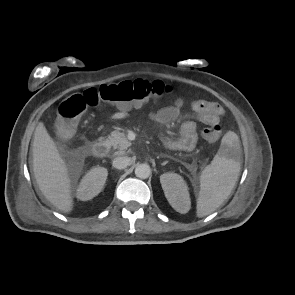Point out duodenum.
<instances>
[{
	"label": "duodenum",
	"mask_w": 295,
	"mask_h": 295,
	"mask_svg": "<svg viewBox=\"0 0 295 295\" xmlns=\"http://www.w3.org/2000/svg\"><path fill=\"white\" fill-rule=\"evenodd\" d=\"M84 150L90 151L93 155L97 157H103L108 153L109 147L108 144L104 141H98L95 143H92L90 145H86L84 147Z\"/></svg>",
	"instance_id": "1"
}]
</instances>
